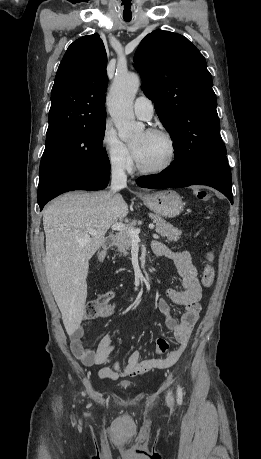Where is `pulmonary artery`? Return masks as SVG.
Listing matches in <instances>:
<instances>
[{
	"instance_id": "e3ab8cb5",
	"label": "pulmonary artery",
	"mask_w": 261,
	"mask_h": 459,
	"mask_svg": "<svg viewBox=\"0 0 261 459\" xmlns=\"http://www.w3.org/2000/svg\"><path fill=\"white\" fill-rule=\"evenodd\" d=\"M135 115L143 120H150L154 114V106L146 96L136 98L133 106Z\"/></svg>"
}]
</instances>
